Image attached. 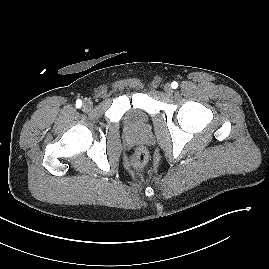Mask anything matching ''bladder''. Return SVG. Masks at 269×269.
Listing matches in <instances>:
<instances>
[{"instance_id": "obj_1", "label": "bladder", "mask_w": 269, "mask_h": 269, "mask_svg": "<svg viewBox=\"0 0 269 269\" xmlns=\"http://www.w3.org/2000/svg\"><path fill=\"white\" fill-rule=\"evenodd\" d=\"M148 122L147 114L141 109H131L125 116V123L133 128H141Z\"/></svg>"}]
</instances>
